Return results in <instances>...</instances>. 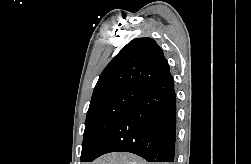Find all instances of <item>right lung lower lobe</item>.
<instances>
[{
    "mask_svg": "<svg viewBox=\"0 0 251 164\" xmlns=\"http://www.w3.org/2000/svg\"><path fill=\"white\" fill-rule=\"evenodd\" d=\"M176 94L170 72L144 86L140 94L97 142L84 162L116 151L134 153L148 162H173Z\"/></svg>",
    "mask_w": 251,
    "mask_h": 164,
    "instance_id": "obj_1",
    "label": "right lung lower lobe"
}]
</instances>
